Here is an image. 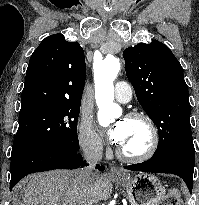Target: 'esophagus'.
Segmentation results:
<instances>
[{
  "label": "esophagus",
  "instance_id": "1",
  "mask_svg": "<svg viewBox=\"0 0 199 205\" xmlns=\"http://www.w3.org/2000/svg\"><path fill=\"white\" fill-rule=\"evenodd\" d=\"M110 174L113 175V176H118L121 174L120 170L117 169L116 167L114 166H111L110 167Z\"/></svg>",
  "mask_w": 199,
  "mask_h": 205
}]
</instances>
